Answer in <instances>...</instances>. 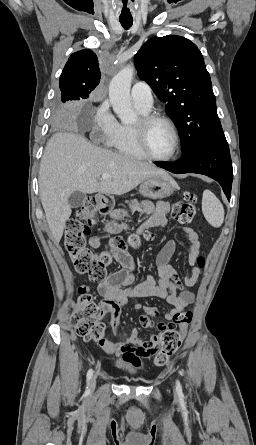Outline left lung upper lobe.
<instances>
[{
    "mask_svg": "<svg viewBox=\"0 0 256 445\" xmlns=\"http://www.w3.org/2000/svg\"><path fill=\"white\" fill-rule=\"evenodd\" d=\"M138 75L165 104L181 137L182 155L194 147L226 140L203 56L176 35L149 39L134 57Z\"/></svg>",
    "mask_w": 256,
    "mask_h": 445,
    "instance_id": "obj_1",
    "label": "left lung upper lobe"
}]
</instances>
